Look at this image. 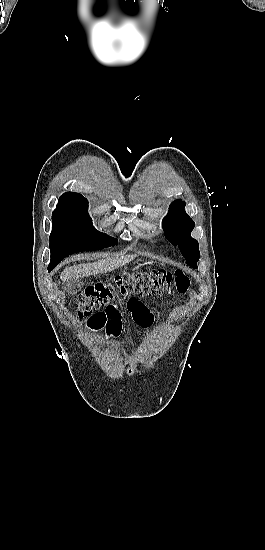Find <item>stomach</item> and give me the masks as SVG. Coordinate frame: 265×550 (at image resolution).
Masks as SVG:
<instances>
[{
    "mask_svg": "<svg viewBox=\"0 0 265 550\" xmlns=\"http://www.w3.org/2000/svg\"><path fill=\"white\" fill-rule=\"evenodd\" d=\"M153 262H145L143 264H141V266H148V265H151Z\"/></svg>",
    "mask_w": 265,
    "mask_h": 550,
    "instance_id": "stomach-1",
    "label": "stomach"
}]
</instances>
